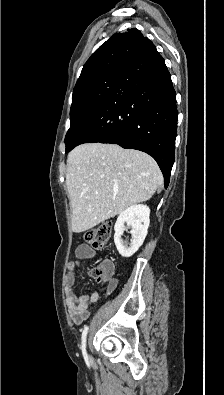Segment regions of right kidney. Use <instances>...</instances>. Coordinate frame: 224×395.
<instances>
[{
    "label": "right kidney",
    "mask_w": 224,
    "mask_h": 395,
    "mask_svg": "<svg viewBox=\"0 0 224 395\" xmlns=\"http://www.w3.org/2000/svg\"><path fill=\"white\" fill-rule=\"evenodd\" d=\"M150 209L147 205H133L122 211L115 223L114 242L119 254L122 257H131L143 244L150 224ZM125 223L131 226L130 233L133 240L127 247L122 241V235L126 230Z\"/></svg>",
    "instance_id": "obj_1"
}]
</instances>
